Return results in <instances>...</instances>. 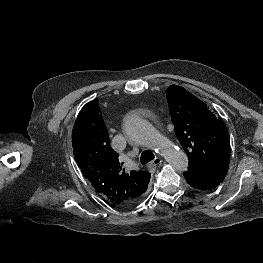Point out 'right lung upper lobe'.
Here are the masks:
<instances>
[{
  "mask_svg": "<svg viewBox=\"0 0 263 263\" xmlns=\"http://www.w3.org/2000/svg\"><path fill=\"white\" fill-rule=\"evenodd\" d=\"M72 145L83 176L111 204L125 206L147 190L151 175L145 171L126 172L111 148L97 99L80 111L73 127Z\"/></svg>",
  "mask_w": 263,
  "mask_h": 263,
  "instance_id": "obj_1",
  "label": "right lung upper lobe"
}]
</instances>
